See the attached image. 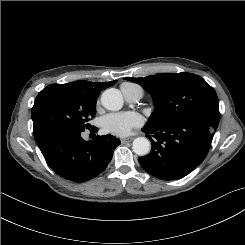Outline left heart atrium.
I'll list each match as a JSON object with an SVG mask.
<instances>
[{"instance_id":"1","label":"left heart atrium","mask_w":245,"mask_h":245,"mask_svg":"<svg viewBox=\"0 0 245 245\" xmlns=\"http://www.w3.org/2000/svg\"><path fill=\"white\" fill-rule=\"evenodd\" d=\"M142 117L134 112L110 113L101 120L104 132L115 136H126L135 127L142 124Z\"/></svg>"}]
</instances>
